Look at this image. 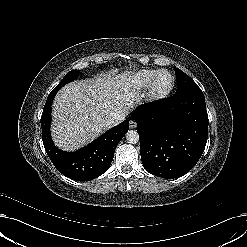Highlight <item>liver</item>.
Masks as SVG:
<instances>
[{
  "instance_id": "liver-1",
  "label": "liver",
  "mask_w": 247,
  "mask_h": 247,
  "mask_svg": "<svg viewBox=\"0 0 247 247\" xmlns=\"http://www.w3.org/2000/svg\"><path fill=\"white\" fill-rule=\"evenodd\" d=\"M129 74H103L65 85L53 102L55 145L65 151L76 150L106 130L109 116L127 114L140 99Z\"/></svg>"
}]
</instances>
